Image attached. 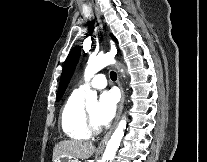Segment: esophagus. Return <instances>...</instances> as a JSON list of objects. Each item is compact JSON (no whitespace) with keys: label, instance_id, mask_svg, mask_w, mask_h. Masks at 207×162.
<instances>
[{"label":"esophagus","instance_id":"obj_1","mask_svg":"<svg viewBox=\"0 0 207 162\" xmlns=\"http://www.w3.org/2000/svg\"><path fill=\"white\" fill-rule=\"evenodd\" d=\"M94 12H95V15L97 17V20L98 22L100 23V27L101 29H103V25H102V22H101V19H100V11H99V8L94 5ZM110 44H111V48H115V44L114 42L110 39ZM118 85L120 87V90H121V100H120V103H119V106H118V110H117V115H116V119H115V122L112 126V128L109 130V132L104 136V138L102 139V141L100 142V144L98 145V151H103L113 130L115 129L117 123H118V120L121 116V113H122V110H123V105H124V100H125V92H124V89L122 87V83H121V79H120V76L118 75Z\"/></svg>","mask_w":207,"mask_h":162}]
</instances>
